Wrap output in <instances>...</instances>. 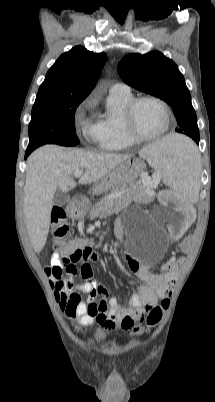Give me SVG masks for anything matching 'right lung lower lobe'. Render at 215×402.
I'll return each instance as SVG.
<instances>
[{
    "mask_svg": "<svg viewBox=\"0 0 215 402\" xmlns=\"http://www.w3.org/2000/svg\"><path fill=\"white\" fill-rule=\"evenodd\" d=\"M31 152H32V151H30V150H26L25 159L28 157V155H29Z\"/></svg>",
    "mask_w": 215,
    "mask_h": 402,
    "instance_id": "obj_1",
    "label": "right lung lower lobe"
}]
</instances>
